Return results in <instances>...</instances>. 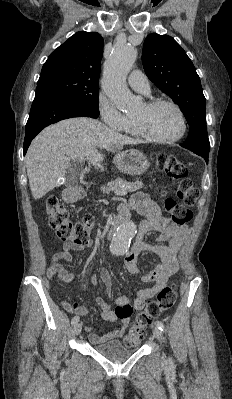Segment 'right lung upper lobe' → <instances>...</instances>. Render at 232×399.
Listing matches in <instances>:
<instances>
[{
    "instance_id": "cb5924a9",
    "label": "right lung upper lobe",
    "mask_w": 232,
    "mask_h": 399,
    "mask_svg": "<svg viewBox=\"0 0 232 399\" xmlns=\"http://www.w3.org/2000/svg\"><path fill=\"white\" fill-rule=\"evenodd\" d=\"M104 40L99 33L79 31L59 46L42 67L39 80L69 78L98 84Z\"/></svg>"
}]
</instances>
